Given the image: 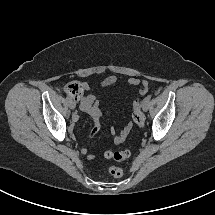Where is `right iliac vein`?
Listing matches in <instances>:
<instances>
[{"label": "right iliac vein", "instance_id": "1", "mask_svg": "<svg viewBox=\"0 0 215 215\" xmlns=\"http://www.w3.org/2000/svg\"><path fill=\"white\" fill-rule=\"evenodd\" d=\"M68 102H69V107H70V109H75V107H76L75 102L72 101V100H70V101H68Z\"/></svg>", "mask_w": 215, "mask_h": 215}]
</instances>
